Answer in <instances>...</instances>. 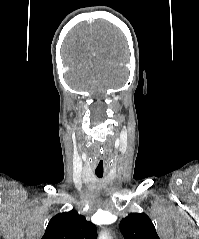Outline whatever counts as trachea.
<instances>
[{
    "label": "trachea",
    "instance_id": "3493384b",
    "mask_svg": "<svg viewBox=\"0 0 199 239\" xmlns=\"http://www.w3.org/2000/svg\"><path fill=\"white\" fill-rule=\"evenodd\" d=\"M96 176H97L98 178H102V177H103V173H96Z\"/></svg>",
    "mask_w": 199,
    "mask_h": 239
}]
</instances>
